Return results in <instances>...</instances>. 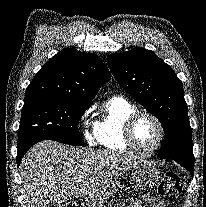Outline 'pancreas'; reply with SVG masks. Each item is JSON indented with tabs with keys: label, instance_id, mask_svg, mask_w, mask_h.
<instances>
[{
	"label": "pancreas",
	"instance_id": "obj_1",
	"mask_svg": "<svg viewBox=\"0 0 206 207\" xmlns=\"http://www.w3.org/2000/svg\"><path fill=\"white\" fill-rule=\"evenodd\" d=\"M114 207H131V205L127 204V203H120V204H117L116 206Z\"/></svg>",
	"mask_w": 206,
	"mask_h": 207
}]
</instances>
